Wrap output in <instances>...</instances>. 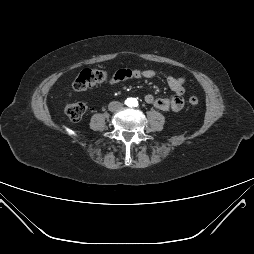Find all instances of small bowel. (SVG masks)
I'll return each instance as SVG.
<instances>
[{"instance_id": "1", "label": "small bowel", "mask_w": 254, "mask_h": 254, "mask_svg": "<svg viewBox=\"0 0 254 254\" xmlns=\"http://www.w3.org/2000/svg\"><path fill=\"white\" fill-rule=\"evenodd\" d=\"M156 74V71L152 69H119L114 73L109 84L114 85L127 79H151L154 78ZM164 78L173 93L172 96L157 98L152 94H147L144 100L147 104L153 105L159 110L178 112L184 107L183 95L185 93V81L183 78L171 75H165Z\"/></svg>"}]
</instances>
